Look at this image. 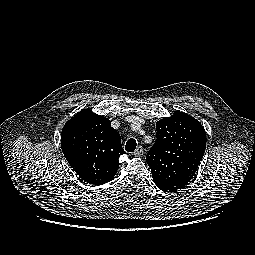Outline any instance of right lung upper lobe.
I'll return each instance as SVG.
<instances>
[{
    "instance_id": "1",
    "label": "right lung upper lobe",
    "mask_w": 255,
    "mask_h": 255,
    "mask_svg": "<svg viewBox=\"0 0 255 255\" xmlns=\"http://www.w3.org/2000/svg\"><path fill=\"white\" fill-rule=\"evenodd\" d=\"M61 148L71 168L91 184L113 180L119 157L125 154L120 134L110 120L90 109L78 112L64 125Z\"/></svg>"
}]
</instances>
